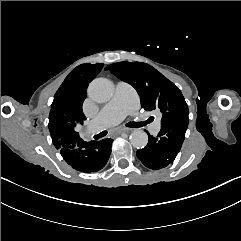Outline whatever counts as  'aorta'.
<instances>
[{
  "label": "aorta",
  "mask_w": 241,
  "mask_h": 241,
  "mask_svg": "<svg viewBox=\"0 0 241 241\" xmlns=\"http://www.w3.org/2000/svg\"><path fill=\"white\" fill-rule=\"evenodd\" d=\"M114 85L106 78L94 79L88 87V95L96 102H107L113 95ZM130 142L135 148H144L148 143V135L143 130H135L130 135Z\"/></svg>",
  "instance_id": "obj_1"
}]
</instances>
